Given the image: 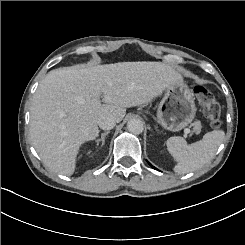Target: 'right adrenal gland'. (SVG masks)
Returning <instances> with one entry per match:
<instances>
[{"mask_svg": "<svg viewBox=\"0 0 245 245\" xmlns=\"http://www.w3.org/2000/svg\"><path fill=\"white\" fill-rule=\"evenodd\" d=\"M109 133H110L109 130H107L105 133H102V134H101V137L96 139L97 145H99V142H100V141H102V145H104V144H105V138H106V136H107Z\"/></svg>", "mask_w": 245, "mask_h": 245, "instance_id": "right-adrenal-gland-1", "label": "right adrenal gland"}]
</instances>
